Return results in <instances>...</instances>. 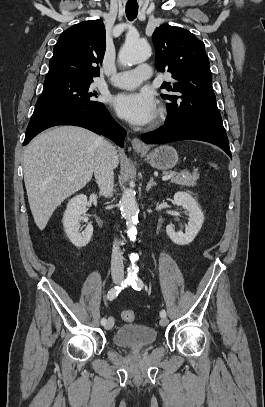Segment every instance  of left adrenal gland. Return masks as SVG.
Returning <instances> with one entry per match:
<instances>
[{
    "label": "left adrenal gland",
    "mask_w": 265,
    "mask_h": 407,
    "mask_svg": "<svg viewBox=\"0 0 265 407\" xmlns=\"http://www.w3.org/2000/svg\"><path fill=\"white\" fill-rule=\"evenodd\" d=\"M156 185H157V183L154 182L153 177H151L149 183L147 184L146 190L149 191L152 186H156Z\"/></svg>",
    "instance_id": "obj_1"
}]
</instances>
